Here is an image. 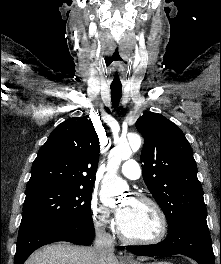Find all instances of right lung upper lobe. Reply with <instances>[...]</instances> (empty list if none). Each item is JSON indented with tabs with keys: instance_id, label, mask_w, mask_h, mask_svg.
<instances>
[{
	"instance_id": "cb5924a9",
	"label": "right lung upper lobe",
	"mask_w": 221,
	"mask_h": 264,
	"mask_svg": "<svg viewBox=\"0 0 221 264\" xmlns=\"http://www.w3.org/2000/svg\"><path fill=\"white\" fill-rule=\"evenodd\" d=\"M99 151L91 120L81 117L61 123L40 148L26 190L52 184L93 187Z\"/></svg>"
}]
</instances>
